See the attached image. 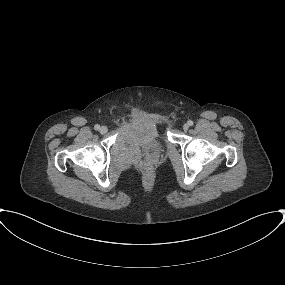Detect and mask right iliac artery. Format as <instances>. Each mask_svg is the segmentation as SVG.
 <instances>
[{
    "mask_svg": "<svg viewBox=\"0 0 285 285\" xmlns=\"http://www.w3.org/2000/svg\"><path fill=\"white\" fill-rule=\"evenodd\" d=\"M94 129H95V130H99V129H100V125L96 124V125L94 126Z\"/></svg>",
    "mask_w": 285,
    "mask_h": 285,
    "instance_id": "right-iliac-artery-1",
    "label": "right iliac artery"
}]
</instances>
